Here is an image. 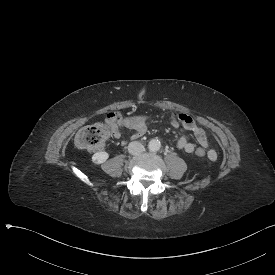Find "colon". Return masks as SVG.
<instances>
[{
    "label": "colon",
    "instance_id": "5ec220e1",
    "mask_svg": "<svg viewBox=\"0 0 275 275\" xmlns=\"http://www.w3.org/2000/svg\"><path fill=\"white\" fill-rule=\"evenodd\" d=\"M146 121H155V114H146ZM119 126L139 125L143 123L142 116L135 118L123 119L118 116L117 112H110L107 114L104 122H98L82 128L76 135L75 142L80 149L85 150H100L111 136L112 130L115 129L116 124ZM196 155L203 157L206 154L205 149L197 148Z\"/></svg>",
    "mask_w": 275,
    "mask_h": 275
}]
</instances>
